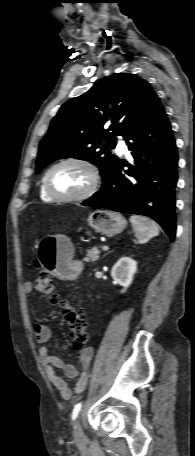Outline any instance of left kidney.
Returning <instances> with one entry per match:
<instances>
[{
    "instance_id": "5707ae66",
    "label": "left kidney",
    "mask_w": 195,
    "mask_h": 456,
    "mask_svg": "<svg viewBox=\"0 0 195 456\" xmlns=\"http://www.w3.org/2000/svg\"><path fill=\"white\" fill-rule=\"evenodd\" d=\"M137 271V262L130 257H122L112 268V278L123 287L121 292H125L133 281V276Z\"/></svg>"
}]
</instances>
